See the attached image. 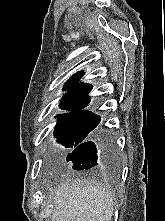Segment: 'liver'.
Masks as SVG:
<instances>
[{
	"mask_svg": "<svg viewBox=\"0 0 165 221\" xmlns=\"http://www.w3.org/2000/svg\"><path fill=\"white\" fill-rule=\"evenodd\" d=\"M52 200V221H111L113 215V196L103 185L65 182Z\"/></svg>",
	"mask_w": 165,
	"mask_h": 221,
	"instance_id": "obj_1",
	"label": "liver"
}]
</instances>
